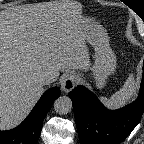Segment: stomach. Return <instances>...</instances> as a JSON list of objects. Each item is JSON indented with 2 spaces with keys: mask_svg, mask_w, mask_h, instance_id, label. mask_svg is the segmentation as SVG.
<instances>
[{
  "mask_svg": "<svg viewBox=\"0 0 144 144\" xmlns=\"http://www.w3.org/2000/svg\"><path fill=\"white\" fill-rule=\"evenodd\" d=\"M85 40L94 50V63L90 67V77L98 89L104 88L108 77L114 73L116 56L109 44L107 31L94 19L82 15Z\"/></svg>",
  "mask_w": 144,
  "mask_h": 144,
  "instance_id": "0dacf381",
  "label": "stomach"
}]
</instances>
